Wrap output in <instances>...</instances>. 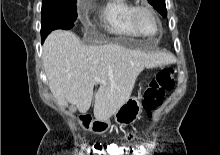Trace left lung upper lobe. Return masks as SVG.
Returning <instances> with one entry per match:
<instances>
[{
  "label": "left lung upper lobe",
  "instance_id": "5c2ea615",
  "mask_svg": "<svg viewBox=\"0 0 220 155\" xmlns=\"http://www.w3.org/2000/svg\"><path fill=\"white\" fill-rule=\"evenodd\" d=\"M149 3L163 16H167L165 0H148Z\"/></svg>",
  "mask_w": 220,
  "mask_h": 155
}]
</instances>
